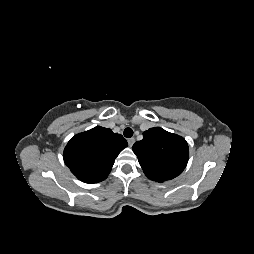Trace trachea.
<instances>
[{"instance_id": "1", "label": "trachea", "mask_w": 254, "mask_h": 254, "mask_svg": "<svg viewBox=\"0 0 254 254\" xmlns=\"http://www.w3.org/2000/svg\"><path fill=\"white\" fill-rule=\"evenodd\" d=\"M123 134L126 138H130L133 136V130L131 128H126Z\"/></svg>"}]
</instances>
